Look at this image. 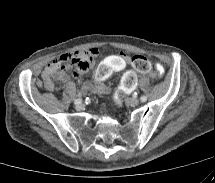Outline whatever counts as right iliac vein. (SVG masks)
Listing matches in <instances>:
<instances>
[{"label": "right iliac vein", "mask_w": 215, "mask_h": 183, "mask_svg": "<svg viewBox=\"0 0 215 183\" xmlns=\"http://www.w3.org/2000/svg\"><path fill=\"white\" fill-rule=\"evenodd\" d=\"M82 108H83L82 103H80V104L76 105V109H77V110H81Z\"/></svg>", "instance_id": "right-iliac-vein-1"}]
</instances>
